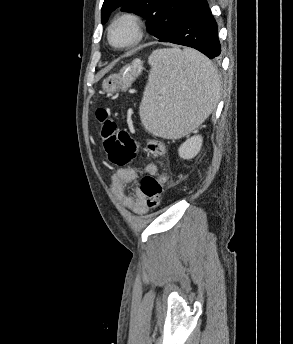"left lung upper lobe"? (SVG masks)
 I'll return each mask as SVG.
<instances>
[{"mask_svg": "<svg viewBox=\"0 0 293 344\" xmlns=\"http://www.w3.org/2000/svg\"><path fill=\"white\" fill-rule=\"evenodd\" d=\"M191 0H105L101 9L104 24L112 11L121 8L147 19V29L163 39L175 26Z\"/></svg>", "mask_w": 293, "mask_h": 344, "instance_id": "left-lung-upper-lobe-1", "label": "left lung upper lobe"}]
</instances>
